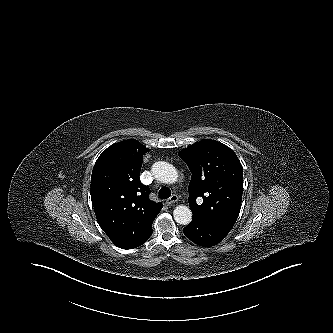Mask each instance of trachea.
I'll return each mask as SVG.
<instances>
[{
  "instance_id": "obj_1",
  "label": "trachea",
  "mask_w": 333,
  "mask_h": 333,
  "mask_svg": "<svg viewBox=\"0 0 333 333\" xmlns=\"http://www.w3.org/2000/svg\"><path fill=\"white\" fill-rule=\"evenodd\" d=\"M171 196V190L168 187H163L159 190V198L167 199Z\"/></svg>"
}]
</instances>
